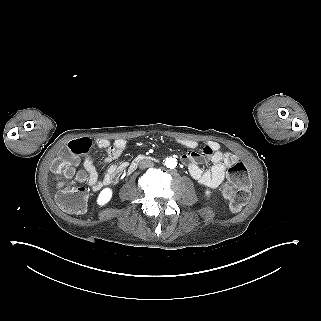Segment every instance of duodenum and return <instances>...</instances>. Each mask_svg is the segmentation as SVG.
Wrapping results in <instances>:
<instances>
[{"instance_id":"1","label":"duodenum","mask_w":321,"mask_h":321,"mask_svg":"<svg viewBox=\"0 0 321 321\" xmlns=\"http://www.w3.org/2000/svg\"><path fill=\"white\" fill-rule=\"evenodd\" d=\"M147 159H151V158L146 157V156H142V155L136 157V158L132 161V163L130 164L127 172H128V173H132V172L137 168V166H138V164H139L140 162H142V161H144V160H147Z\"/></svg>"}]
</instances>
